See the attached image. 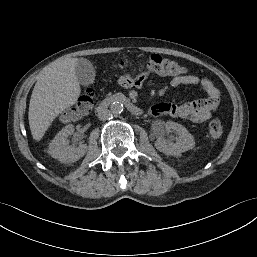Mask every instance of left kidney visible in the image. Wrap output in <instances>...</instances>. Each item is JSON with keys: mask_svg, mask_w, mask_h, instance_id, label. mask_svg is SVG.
<instances>
[{"mask_svg": "<svg viewBox=\"0 0 257 257\" xmlns=\"http://www.w3.org/2000/svg\"><path fill=\"white\" fill-rule=\"evenodd\" d=\"M172 131H175L177 134L175 143L166 138ZM155 145L159 151L167 155H179L193 149L195 141L193 136L184 126L173 121H168L165 123L164 131L158 137Z\"/></svg>", "mask_w": 257, "mask_h": 257, "instance_id": "1", "label": "left kidney"}]
</instances>
